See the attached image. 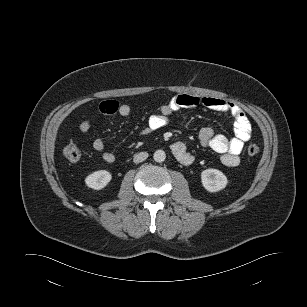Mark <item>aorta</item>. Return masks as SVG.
<instances>
[{
  "label": "aorta",
  "instance_id": "aorta-1",
  "mask_svg": "<svg viewBox=\"0 0 307 307\" xmlns=\"http://www.w3.org/2000/svg\"><path fill=\"white\" fill-rule=\"evenodd\" d=\"M153 158L156 162H163L166 159V154L163 150H156L153 154Z\"/></svg>",
  "mask_w": 307,
  "mask_h": 307
}]
</instances>
